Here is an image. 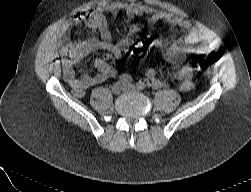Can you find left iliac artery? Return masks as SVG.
Wrapping results in <instances>:
<instances>
[{"mask_svg": "<svg viewBox=\"0 0 251 192\" xmlns=\"http://www.w3.org/2000/svg\"><path fill=\"white\" fill-rule=\"evenodd\" d=\"M149 86H151L150 82L145 83V82L140 81L137 83V87L140 90H144L146 87H149Z\"/></svg>", "mask_w": 251, "mask_h": 192, "instance_id": "left-iliac-artery-1", "label": "left iliac artery"}]
</instances>
